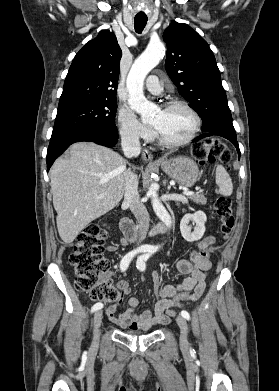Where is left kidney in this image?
Here are the masks:
<instances>
[{"label": "left kidney", "mask_w": 279, "mask_h": 391, "mask_svg": "<svg viewBox=\"0 0 279 391\" xmlns=\"http://www.w3.org/2000/svg\"><path fill=\"white\" fill-rule=\"evenodd\" d=\"M207 221L206 214L202 211H197L194 214H186L183 216L180 222V231L183 238L188 242H194L200 240L204 232L205 222ZM190 222L195 224L194 231L191 232Z\"/></svg>", "instance_id": "obj_1"}]
</instances>
